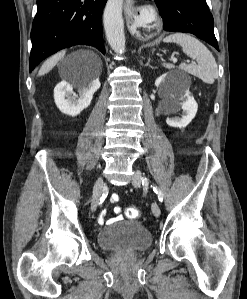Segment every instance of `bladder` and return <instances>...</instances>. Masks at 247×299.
<instances>
[{
    "mask_svg": "<svg viewBox=\"0 0 247 299\" xmlns=\"http://www.w3.org/2000/svg\"><path fill=\"white\" fill-rule=\"evenodd\" d=\"M97 241L108 251L140 252L152 244L150 231L136 221H119L99 231Z\"/></svg>",
    "mask_w": 247,
    "mask_h": 299,
    "instance_id": "obj_1",
    "label": "bladder"
}]
</instances>
